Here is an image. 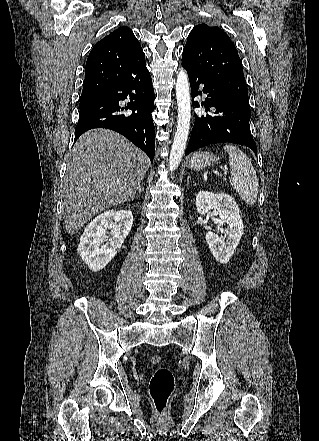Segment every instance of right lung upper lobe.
Returning a JSON list of instances; mask_svg holds the SVG:
<instances>
[{
	"instance_id": "cb5924a9",
	"label": "right lung upper lobe",
	"mask_w": 319,
	"mask_h": 441,
	"mask_svg": "<svg viewBox=\"0 0 319 441\" xmlns=\"http://www.w3.org/2000/svg\"><path fill=\"white\" fill-rule=\"evenodd\" d=\"M145 69V54L139 41L130 28L121 26L92 48L80 100Z\"/></svg>"
}]
</instances>
